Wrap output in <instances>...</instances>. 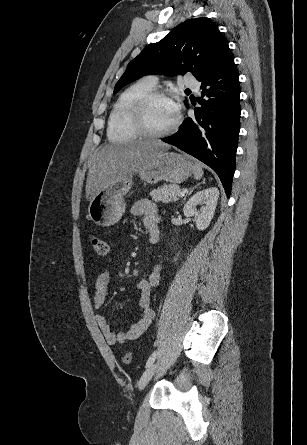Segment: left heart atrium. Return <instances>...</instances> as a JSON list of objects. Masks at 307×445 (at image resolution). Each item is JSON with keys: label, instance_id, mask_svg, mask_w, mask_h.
<instances>
[{"label": "left heart atrium", "instance_id": "obj_1", "mask_svg": "<svg viewBox=\"0 0 307 445\" xmlns=\"http://www.w3.org/2000/svg\"><path fill=\"white\" fill-rule=\"evenodd\" d=\"M172 112L176 115L178 111V106L175 102L169 101Z\"/></svg>", "mask_w": 307, "mask_h": 445}]
</instances>
